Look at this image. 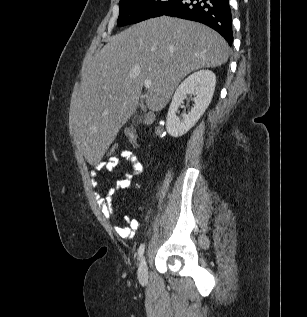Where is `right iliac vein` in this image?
Here are the masks:
<instances>
[{
    "label": "right iliac vein",
    "mask_w": 307,
    "mask_h": 317,
    "mask_svg": "<svg viewBox=\"0 0 307 317\" xmlns=\"http://www.w3.org/2000/svg\"><path fill=\"white\" fill-rule=\"evenodd\" d=\"M138 280L141 284L148 282V268L145 258H142L138 268Z\"/></svg>",
    "instance_id": "right-iliac-vein-1"
}]
</instances>
